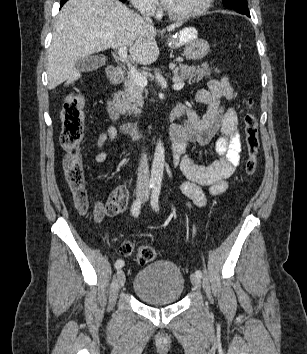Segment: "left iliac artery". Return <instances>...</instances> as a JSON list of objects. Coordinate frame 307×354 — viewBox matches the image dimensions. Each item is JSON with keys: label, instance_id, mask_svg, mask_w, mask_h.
<instances>
[{"label": "left iliac artery", "instance_id": "44dca946", "mask_svg": "<svg viewBox=\"0 0 307 354\" xmlns=\"http://www.w3.org/2000/svg\"><path fill=\"white\" fill-rule=\"evenodd\" d=\"M161 185L155 184L153 186L152 194H151V205L152 208L157 212L159 211V195H160ZM195 275L199 278L202 277V272L200 270L195 271Z\"/></svg>", "mask_w": 307, "mask_h": 354}]
</instances>
